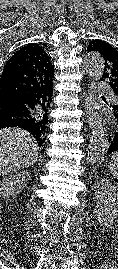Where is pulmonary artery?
I'll list each match as a JSON object with an SVG mask.
<instances>
[{
	"label": "pulmonary artery",
	"instance_id": "e3ab8cb5",
	"mask_svg": "<svg viewBox=\"0 0 118 269\" xmlns=\"http://www.w3.org/2000/svg\"><path fill=\"white\" fill-rule=\"evenodd\" d=\"M99 87L101 88H108V85L104 82H100ZM109 98L113 101V102H117V98L115 96V94L113 92H109Z\"/></svg>",
	"mask_w": 118,
	"mask_h": 269
}]
</instances>
